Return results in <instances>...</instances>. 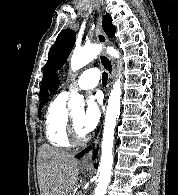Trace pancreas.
I'll use <instances>...</instances> for the list:
<instances>
[{"mask_svg":"<svg viewBox=\"0 0 178 195\" xmlns=\"http://www.w3.org/2000/svg\"><path fill=\"white\" fill-rule=\"evenodd\" d=\"M77 195H83V194L80 192V193H78Z\"/></svg>","mask_w":178,"mask_h":195,"instance_id":"obj_1","label":"pancreas"}]
</instances>
